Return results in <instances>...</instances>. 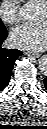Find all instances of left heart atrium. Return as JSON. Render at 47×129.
<instances>
[{"mask_svg":"<svg viewBox=\"0 0 47 129\" xmlns=\"http://www.w3.org/2000/svg\"><path fill=\"white\" fill-rule=\"evenodd\" d=\"M10 38L18 48L39 51L46 45L47 26L45 23H24L12 30Z\"/></svg>","mask_w":47,"mask_h":129,"instance_id":"39dd6f15","label":"left heart atrium"}]
</instances>
